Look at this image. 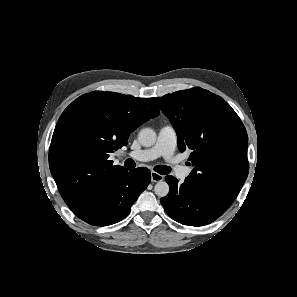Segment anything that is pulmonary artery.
<instances>
[{"instance_id":"obj_1","label":"pulmonary artery","mask_w":297,"mask_h":297,"mask_svg":"<svg viewBox=\"0 0 297 297\" xmlns=\"http://www.w3.org/2000/svg\"><path fill=\"white\" fill-rule=\"evenodd\" d=\"M177 146V133L172 125L163 126L157 137L155 145L148 149L133 151L130 156L140 161H151L159 157H163L167 161L172 162V156ZM175 175L180 180H185L189 174V168L181 165L173 167Z\"/></svg>"}]
</instances>
